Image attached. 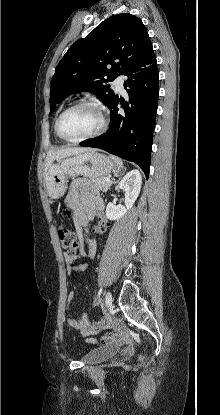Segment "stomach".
Instances as JSON below:
<instances>
[{"label": "stomach", "instance_id": "0dacf381", "mask_svg": "<svg viewBox=\"0 0 220 415\" xmlns=\"http://www.w3.org/2000/svg\"><path fill=\"white\" fill-rule=\"evenodd\" d=\"M117 171V166L108 156L95 150L85 151L52 165L46 172V189L51 198L58 199L67 190L68 178L85 176L93 179Z\"/></svg>", "mask_w": 220, "mask_h": 415}]
</instances>
